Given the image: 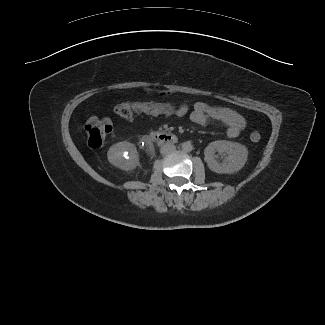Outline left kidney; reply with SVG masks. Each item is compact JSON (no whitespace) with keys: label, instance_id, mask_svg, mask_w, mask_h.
<instances>
[{"label":"left kidney","instance_id":"obj_1","mask_svg":"<svg viewBox=\"0 0 325 325\" xmlns=\"http://www.w3.org/2000/svg\"><path fill=\"white\" fill-rule=\"evenodd\" d=\"M227 154L222 163L216 161L215 153ZM205 160L210 170L218 174H233L241 170L248 157L247 148L237 142L217 140L204 150Z\"/></svg>","mask_w":325,"mask_h":325}]
</instances>
